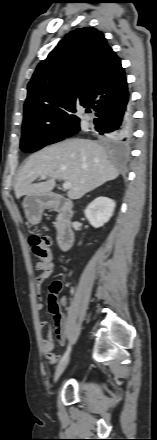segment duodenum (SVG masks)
Segmentation results:
<instances>
[{"label":"duodenum","mask_w":157,"mask_h":440,"mask_svg":"<svg viewBox=\"0 0 157 440\" xmlns=\"http://www.w3.org/2000/svg\"><path fill=\"white\" fill-rule=\"evenodd\" d=\"M42 201L45 202L50 209L58 212V245L63 251L69 250L74 241V231L72 228V217L74 211L72 203L69 200L55 194H50L47 197H43Z\"/></svg>","instance_id":"1"}]
</instances>
